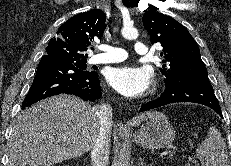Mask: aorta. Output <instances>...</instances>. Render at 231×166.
Here are the masks:
<instances>
[{
  "label": "aorta",
  "instance_id": "aorta-1",
  "mask_svg": "<svg viewBox=\"0 0 231 166\" xmlns=\"http://www.w3.org/2000/svg\"><path fill=\"white\" fill-rule=\"evenodd\" d=\"M121 33H122V36L125 38V39H128V40H134V39H137L139 33L137 31L136 28H134L133 26L131 25H126L124 24L122 30H121ZM123 166V165H121Z\"/></svg>",
  "mask_w": 231,
  "mask_h": 166
}]
</instances>
